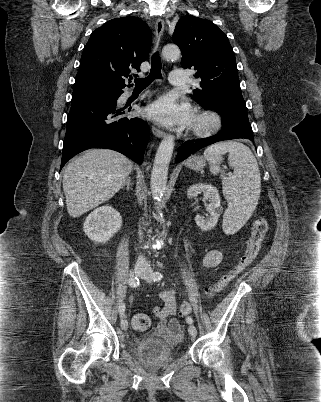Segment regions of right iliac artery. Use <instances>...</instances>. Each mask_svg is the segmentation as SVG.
I'll return each mask as SVG.
<instances>
[{"instance_id":"82829eb1","label":"right iliac artery","mask_w":321,"mask_h":402,"mask_svg":"<svg viewBox=\"0 0 321 402\" xmlns=\"http://www.w3.org/2000/svg\"><path fill=\"white\" fill-rule=\"evenodd\" d=\"M128 283H129V285H130L131 287H137V286L139 285V279H138L137 277H135V278H134V277H131V278L129 279ZM118 309H119L120 317H123V316H124V312H125V304L121 302V303L119 304Z\"/></svg>"}]
</instances>
